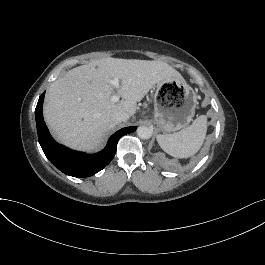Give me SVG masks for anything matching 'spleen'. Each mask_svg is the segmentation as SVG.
Returning a JSON list of instances; mask_svg holds the SVG:
<instances>
[{
    "instance_id": "obj_1",
    "label": "spleen",
    "mask_w": 265,
    "mask_h": 265,
    "mask_svg": "<svg viewBox=\"0 0 265 265\" xmlns=\"http://www.w3.org/2000/svg\"><path fill=\"white\" fill-rule=\"evenodd\" d=\"M207 126L205 116H200L187 128L173 134H158L157 142L169 155L188 158L201 148Z\"/></svg>"
}]
</instances>
